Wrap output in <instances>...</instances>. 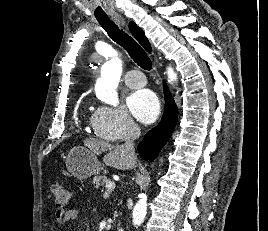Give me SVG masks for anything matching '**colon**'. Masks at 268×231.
Returning a JSON list of instances; mask_svg holds the SVG:
<instances>
[{"label":"colon","instance_id":"5ec220e1","mask_svg":"<svg viewBox=\"0 0 268 231\" xmlns=\"http://www.w3.org/2000/svg\"><path fill=\"white\" fill-rule=\"evenodd\" d=\"M50 190H51V194L53 196L54 202L62 208L66 207L70 199L69 190L66 187L58 183L52 184Z\"/></svg>","mask_w":268,"mask_h":231}]
</instances>
